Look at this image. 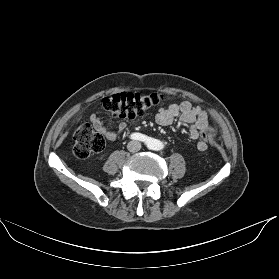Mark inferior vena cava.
<instances>
[{"label":"inferior vena cava","mask_w":279,"mask_h":279,"mask_svg":"<svg viewBox=\"0 0 279 279\" xmlns=\"http://www.w3.org/2000/svg\"><path fill=\"white\" fill-rule=\"evenodd\" d=\"M127 148L130 152H137L141 149V143L138 141H131L128 143Z\"/></svg>","instance_id":"obj_1"}]
</instances>
